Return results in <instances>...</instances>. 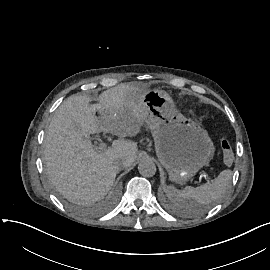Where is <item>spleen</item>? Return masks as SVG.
Masks as SVG:
<instances>
[{"mask_svg": "<svg viewBox=\"0 0 270 270\" xmlns=\"http://www.w3.org/2000/svg\"><path fill=\"white\" fill-rule=\"evenodd\" d=\"M232 175L233 172L230 169H225L220 172L214 181L196 188L176 190L172 186H169L168 195L170 198H176L177 200H195L199 204H209L211 201L219 199L225 193Z\"/></svg>", "mask_w": 270, "mask_h": 270, "instance_id": "1", "label": "spleen"}]
</instances>
